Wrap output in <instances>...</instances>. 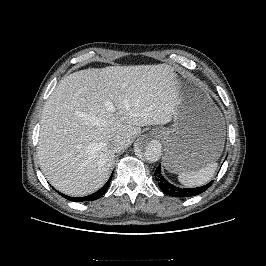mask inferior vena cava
<instances>
[{"mask_svg": "<svg viewBox=\"0 0 266 266\" xmlns=\"http://www.w3.org/2000/svg\"><path fill=\"white\" fill-rule=\"evenodd\" d=\"M127 140L124 136L116 135L109 143V147L112 151H121L126 146Z\"/></svg>", "mask_w": 266, "mask_h": 266, "instance_id": "602c4592", "label": "inferior vena cava"}]
</instances>
